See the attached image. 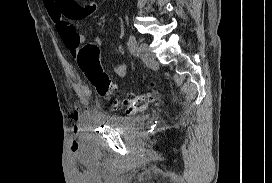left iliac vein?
<instances>
[{
    "instance_id": "4c4485c4",
    "label": "left iliac vein",
    "mask_w": 272,
    "mask_h": 183,
    "mask_svg": "<svg viewBox=\"0 0 272 183\" xmlns=\"http://www.w3.org/2000/svg\"><path fill=\"white\" fill-rule=\"evenodd\" d=\"M139 53L142 61L147 65H152L155 62V55L146 43H141L139 46Z\"/></svg>"
}]
</instances>
